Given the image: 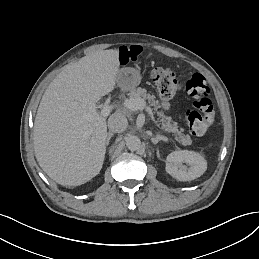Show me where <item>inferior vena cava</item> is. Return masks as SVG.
I'll return each instance as SVG.
<instances>
[{
	"label": "inferior vena cava",
	"instance_id": "obj_1",
	"mask_svg": "<svg viewBox=\"0 0 259 259\" xmlns=\"http://www.w3.org/2000/svg\"><path fill=\"white\" fill-rule=\"evenodd\" d=\"M127 125V118L121 113H115L108 119V128L113 133L124 132Z\"/></svg>",
	"mask_w": 259,
	"mask_h": 259
}]
</instances>
